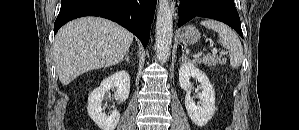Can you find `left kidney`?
<instances>
[{
	"instance_id": "obj_1",
	"label": "left kidney",
	"mask_w": 299,
	"mask_h": 130,
	"mask_svg": "<svg viewBox=\"0 0 299 130\" xmlns=\"http://www.w3.org/2000/svg\"><path fill=\"white\" fill-rule=\"evenodd\" d=\"M196 79L201 84L202 92L198 94L199 105L196 106L190 96L192 84L190 78ZM179 84L186 92L185 107L190 119L197 126H205L215 113V91L208 77L199 70L193 63L186 61L179 69Z\"/></svg>"
}]
</instances>
